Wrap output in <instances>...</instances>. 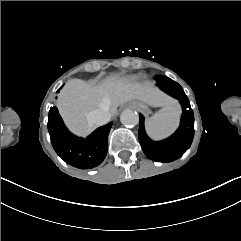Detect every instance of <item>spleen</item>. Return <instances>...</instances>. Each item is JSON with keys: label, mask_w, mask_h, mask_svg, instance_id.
Masks as SVG:
<instances>
[{"label": "spleen", "mask_w": 241, "mask_h": 241, "mask_svg": "<svg viewBox=\"0 0 241 241\" xmlns=\"http://www.w3.org/2000/svg\"><path fill=\"white\" fill-rule=\"evenodd\" d=\"M178 122V113L169 108H163L157 111L147 121L148 133L155 139L167 136L176 127Z\"/></svg>", "instance_id": "spleen-1"}]
</instances>
